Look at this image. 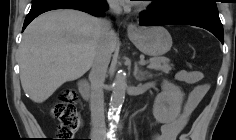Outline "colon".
Masks as SVG:
<instances>
[{
    "label": "colon",
    "instance_id": "obj_1",
    "mask_svg": "<svg viewBox=\"0 0 236 140\" xmlns=\"http://www.w3.org/2000/svg\"><path fill=\"white\" fill-rule=\"evenodd\" d=\"M76 94L71 89H65L53 104L51 115L59 124L57 135L59 140H70L81 126V119L76 109ZM181 139L187 140L182 136Z\"/></svg>",
    "mask_w": 236,
    "mask_h": 140
}]
</instances>
